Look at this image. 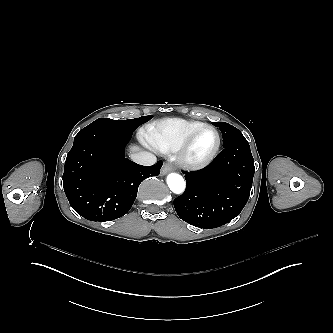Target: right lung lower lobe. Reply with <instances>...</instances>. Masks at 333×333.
Instances as JSON below:
<instances>
[{"mask_svg": "<svg viewBox=\"0 0 333 333\" xmlns=\"http://www.w3.org/2000/svg\"><path fill=\"white\" fill-rule=\"evenodd\" d=\"M132 134L87 126L67 154L63 187L71 207L92 221H110L133 205L140 183L158 176L162 161L141 166L125 158Z\"/></svg>", "mask_w": 333, "mask_h": 333, "instance_id": "98d812e1", "label": "right lung lower lobe"}]
</instances>
